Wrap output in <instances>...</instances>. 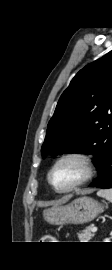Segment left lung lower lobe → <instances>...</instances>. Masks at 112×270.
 I'll list each match as a JSON object with an SVG mask.
<instances>
[{
	"label": "left lung lower lobe",
	"mask_w": 112,
	"mask_h": 270,
	"mask_svg": "<svg viewBox=\"0 0 112 270\" xmlns=\"http://www.w3.org/2000/svg\"><path fill=\"white\" fill-rule=\"evenodd\" d=\"M90 187L112 188V151L103 164L97 180L92 182Z\"/></svg>",
	"instance_id": "obj_1"
}]
</instances>
